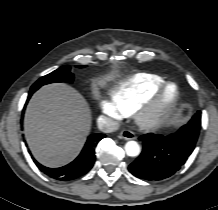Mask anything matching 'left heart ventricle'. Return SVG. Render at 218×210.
I'll list each match as a JSON object with an SVG mask.
<instances>
[{"label":"left heart ventricle","instance_id":"obj_1","mask_svg":"<svg viewBox=\"0 0 218 210\" xmlns=\"http://www.w3.org/2000/svg\"><path fill=\"white\" fill-rule=\"evenodd\" d=\"M175 87L174 86H170L168 87V89L166 90L161 103H160V108H158L157 113H159L161 111V109H163L175 96Z\"/></svg>","mask_w":218,"mask_h":210}]
</instances>
